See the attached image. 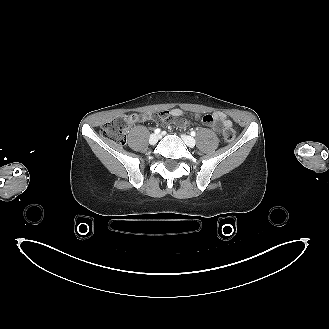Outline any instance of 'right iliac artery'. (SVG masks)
<instances>
[{
  "instance_id": "82829eb1",
  "label": "right iliac artery",
  "mask_w": 329,
  "mask_h": 329,
  "mask_svg": "<svg viewBox=\"0 0 329 329\" xmlns=\"http://www.w3.org/2000/svg\"><path fill=\"white\" fill-rule=\"evenodd\" d=\"M160 131H161V130H160L159 128H157V129L154 130V132H155L156 134L160 133Z\"/></svg>"
}]
</instances>
